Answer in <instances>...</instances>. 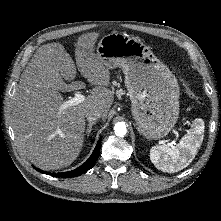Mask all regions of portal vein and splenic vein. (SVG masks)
I'll return each mask as SVG.
<instances>
[{
	"label": "portal vein and splenic vein",
	"instance_id": "18ae733b",
	"mask_svg": "<svg viewBox=\"0 0 221 221\" xmlns=\"http://www.w3.org/2000/svg\"><path fill=\"white\" fill-rule=\"evenodd\" d=\"M84 100H85V96L83 94H81L80 92H78L75 94V97H73L70 100L63 103L62 109H65L70 106L78 105L81 102H83ZM170 144L172 145V144H174V142H171Z\"/></svg>",
	"mask_w": 221,
	"mask_h": 221
}]
</instances>
